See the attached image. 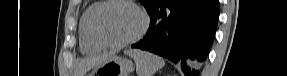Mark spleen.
Listing matches in <instances>:
<instances>
[{
  "label": "spleen",
  "mask_w": 287,
  "mask_h": 76,
  "mask_svg": "<svg viewBox=\"0 0 287 76\" xmlns=\"http://www.w3.org/2000/svg\"><path fill=\"white\" fill-rule=\"evenodd\" d=\"M125 54L133 58L136 63L138 76H153V74L165 65V61L153 53L139 49H130Z\"/></svg>",
  "instance_id": "3e777b00"
}]
</instances>
